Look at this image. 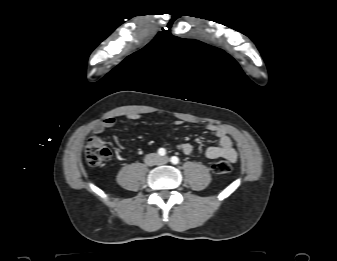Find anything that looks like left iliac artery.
<instances>
[{
  "label": "left iliac artery",
  "mask_w": 337,
  "mask_h": 261,
  "mask_svg": "<svg viewBox=\"0 0 337 261\" xmlns=\"http://www.w3.org/2000/svg\"><path fill=\"white\" fill-rule=\"evenodd\" d=\"M173 164H178L179 163V158L176 156H172L170 160Z\"/></svg>",
  "instance_id": "obj_1"
}]
</instances>
